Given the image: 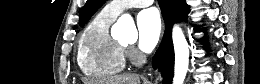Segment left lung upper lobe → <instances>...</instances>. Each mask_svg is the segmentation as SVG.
I'll return each mask as SVG.
<instances>
[{
    "label": "left lung upper lobe",
    "mask_w": 260,
    "mask_h": 84,
    "mask_svg": "<svg viewBox=\"0 0 260 84\" xmlns=\"http://www.w3.org/2000/svg\"><path fill=\"white\" fill-rule=\"evenodd\" d=\"M106 0H87L85 6L80 11V25L84 23L93 15V13L105 3Z\"/></svg>",
    "instance_id": "obj_1"
}]
</instances>
